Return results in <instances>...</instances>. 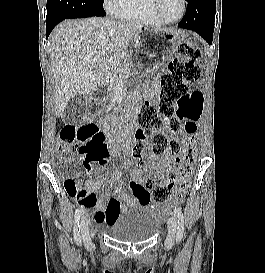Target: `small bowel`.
<instances>
[{
	"label": "small bowel",
	"instance_id": "c3829d8e",
	"mask_svg": "<svg viewBox=\"0 0 265 273\" xmlns=\"http://www.w3.org/2000/svg\"><path fill=\"white\" fill-rule=\"evenodd\" d=\"M125 150H129L126 147ZM123 150L113 146L112 154L119 155ZM175 160V155L167 152L162 156H152V162L146 164L143 167V173L149 174L155 171L159 178L163 176V173L168 170ZM143 165V162L140 166ZM126 166L129 170H126V177L129 178V190L132 191L133 196L128 195L122 189V171L119 168L114 169L109 177L98 176L94 180H89L85 183L86 194L74 198L75 201L81 204L83 208L92 209L93 214V226L99 229H103L107 224L112 222L119 212L126 206H134L137 204H151L152 191L148 190L147 186L142 183V177H139L138 171L132 164L127 161ZM105 185H109L113 188V194L111 196L103 193L97 195L96 191ZM123 202V205H121ZM115 204L119 208H115ZM167 207L161 208L162 213H165Z\"/></svg>",
	"mask_w": 265,
	"mask_h": 273
}]
</instances>
